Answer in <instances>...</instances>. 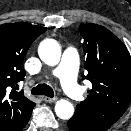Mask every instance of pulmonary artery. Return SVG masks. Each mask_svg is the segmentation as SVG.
<instances>
[{
	"instance_id": "obj_1",
	"label": "pulmonary artery",
	"mask_w": 131,
	"mask_h": 131,
	"mask_svg": "<svg viewBox=\"0 0 131 131\" xmlns=\"http://www.w3.org/2000/svg\"><path fill=\"white\" fill-rule=\"evenodd\" d=\"M78 65L77 51L67 48L63 52L60 63L53 70V74L60 79L64 91L76 101L82 98V91L77 83Z\"/></svg>"
}]
</instances>
